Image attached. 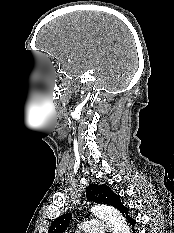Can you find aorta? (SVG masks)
<instances>
[{
	"mask_svg": "<svg viewBox=\"0 0 174 233\" xmlns=\"http://www.w3.org/2000/svg\"><path fill=\"white\" fill-rule=\"evenodd\" d=\"M91 212L104 219L109 224L112 233H130V228L124 217L115 208L107 205H96L91 209Z\"/></svg>",
	"mask_w": 174,
	"mask_h": 233,
	"instance_id": "762f6f07",
	"label": "aorta"
}]
</instances>
